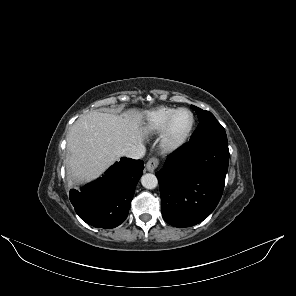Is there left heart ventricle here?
I'll list each match as a JSON object with an SVG mask.
<instances>
[{
	"instance_id": "obj_1",
	"label": "left heart ventricle",
	"mask_w": 296,
	"mask_h": 296,
	"mask_svg": "<svg viewBox=\"0 0 296 296\" xmlns=\"http://www.w3.org/2000/svg\"><path fill=\"white\" fill-rule=\"evenodd\" d=\"M190 121H191V117L187 112H180L175 118V121L173 124V128H172L173 134L177 136L183 133L188 128Z\"/></svg>"
}]
</instances>
